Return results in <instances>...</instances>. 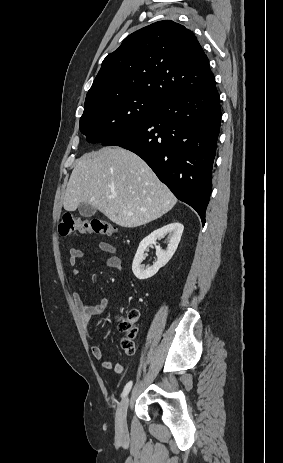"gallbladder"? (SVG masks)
<instances>
[{"label": "gallbladder", "mask_w": 283, "mask_h": 463, "mask_svg": "<svg viewBox=\"0 0 283 463\" xmlns=\"http://www.w3.org/2000/svg\"><path fill=\"white\" fill-rule=\"evenodd\" d=\"M78 211L82 217L88 218L92 217L97 212V209L88 203H81Z\"/></svg>", "instance_id": "obj_1"}]
</instances>
